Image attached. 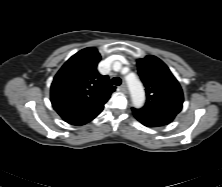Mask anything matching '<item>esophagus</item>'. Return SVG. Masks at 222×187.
Masks as SVG:
<instances>
[{
	"mask_svg": "<svg viewBox=\"0 0 222 187\" xmlns=\"http://www.w3.org/2000/svg\"><path fill=\"white\" fill-rule=\"evenodd\" d=\"M119 89L122 91V92H126L127 91V86L125 83H122L119 87Z\"/></svg>",
	"mask_w": 222,
	"mask_h": 187,
	"instance_id": "34e87169",
	"label": "esophagus"
}]
</instances>
